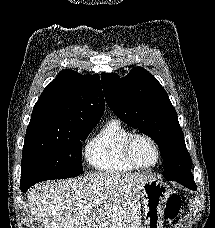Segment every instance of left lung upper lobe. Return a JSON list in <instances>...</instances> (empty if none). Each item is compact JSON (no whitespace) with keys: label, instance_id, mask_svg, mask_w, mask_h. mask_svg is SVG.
<instances>
[{"label":"left lung upper lobe","instance_id":"1","mask_svg":"<svg viewBox=\"0 0 215 228\" xmlns=\"http://www.w3.org/2000/svg\"><path fill=\"white\" fill-rule=\"evenodd\" d=\"M108 106L123 122L150 136L159 146L165 178L192 175V162L177 113L158 80L141 67L124 78L101 74Z\"/></svg>","mask_w":215,"mask_h":228}]
</instances>
